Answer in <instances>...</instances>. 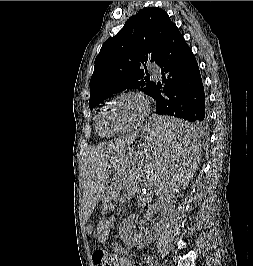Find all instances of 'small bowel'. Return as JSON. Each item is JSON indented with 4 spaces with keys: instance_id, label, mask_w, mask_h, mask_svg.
Segmentation results:
<instances>
[{
    "instance_id": "small-bowel-1",
    "label": "small bowel",
    "mask_w": 253,
    "mask_h": 266,
    "mask_svg": "<svg viewBox=\"0 0 253 266\" xmlns=\"http://www.w3.org/2000/svg\"><path fill=\"white\" fill-rule=\"evenodd\" d=\"M116 250L121 254L126 253V251L121 247H116ZM144 262L146 266H154L153 258L151 256H146ZM119 266H133V265L127 258H120Z\"/></svg>"
}]
</instances>
